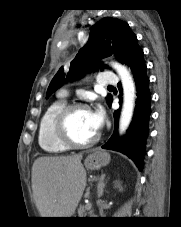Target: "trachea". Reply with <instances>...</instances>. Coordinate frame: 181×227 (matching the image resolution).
Masks as SVG:
<instances>
[{
	"label": "trachea",
	"instance_id": "trachea-1",
	"mask_svg": "<svg viewBox=\"0 0 181 227\" xmlns=\"http://www.w3.org/2000/svg\"><path fill=\"white\" fill-rule=\"evenodd\" d=\"M108 88H113V86H108Z\"/></svg>",
	"mask_w": 181,
	"mask_h": 227
}]
</instances>
